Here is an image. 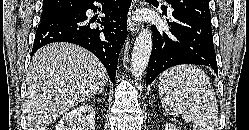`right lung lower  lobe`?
I'll return each instance as SVG.
<instances>
[{
    "instance_id": "1",
    "label": "right lung lower lobe",
    "mask_w": 249,
    "mask_h": 130,
    "mask_svg": "<svg viewBox=\"0 0 249 130\" xmlns=\"http://www.w3.org/2000/svg\"><path fill=\"white\" fill-rule=\"evenodd\" d=\"M132 0L103 1L105 17L97 19L104 29L91 28L96 19L88 20L86 11L93 9L94 0L71 16L40 22L36 31L32 55L44 45L53 42H70L91 51L105 66L112 82L115 80L117 60L127 36V13Z\"/></svg>"
}]
</instances>
